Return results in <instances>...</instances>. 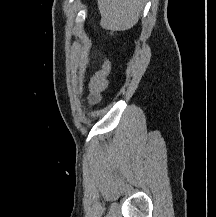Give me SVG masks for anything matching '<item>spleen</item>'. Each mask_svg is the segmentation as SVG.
<instances>
[{
  "instance_id": "3e777b00",
  "label": "spleen",
  "mask_w": 216,
  "mask_h": 217,
  "mask_svg": "<svg viewBox=\"0 0 216 217\" xmlns=\"http://www.w3.org/2000/svg\"><path fill=\"white\" fill-rule=\"evenodd\" d=\"M145 0H98L101 26L112 31L133 27L143 10Z\"/></svg>"
}]
</instances>
